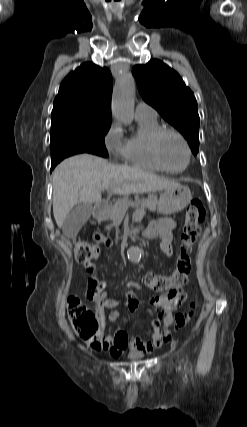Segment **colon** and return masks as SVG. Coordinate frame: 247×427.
<instances>
[{
	"label": "colon",
	"mask_w": 247,
	"mask_h": 427,
	"mask_svg": "<svg viewBox=\"0 0 247 427\" xmlns=\"http://www.w3.org/2000/svg\"><path fill=\"white\" fill-rule=\"evenodd\" d=\"M206 216L205 208L200 200L189 203L181 232L180 254L176 267L170 275L148 272L143 277L144 285L157 293H166L183 288L192 272L191 255L194 245L201 233V223ZM101 254L98 245L89 241L76 239L74 241L75 259L83 264L97 259ZM195 305L190 304L187 311L177 313L174 324L180 328L185 326L194 315ZM69 319L79 337L94 349H102L106 344L103 326L96 313L89 309L78 297L68 299Z\"/></svg>",
	"instance_id": "obj_1"
}]
</instances>
